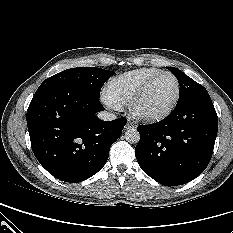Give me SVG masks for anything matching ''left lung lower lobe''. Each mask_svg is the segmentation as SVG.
Masks as SVG:
<instances>
[{"mask_svg": "<svg viewBox=\"0 0 233 233\" xmlns=\"http://www.w3.org/2000/svg\"><path fill=\"white\" fill-rule=\"evenodd\" d=\"M218 117L207 91L177 102L163 120L140 125L135 155L141 169L166 186L198 177L212 157Z\"/></svg>", "mask_w": 233, "mask_h": 233, "instance_id": "1", "label": "left lung lower lobe"}]
</instances>
